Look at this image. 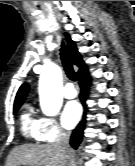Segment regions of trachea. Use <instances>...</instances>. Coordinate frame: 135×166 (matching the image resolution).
Listing matches in <instances>:
<instances>
[{"label": "trachea", "mask_w": 135, "mask_h": 166, "mask_svg": "<svg viewBox=\"0 0 135 166\" xmlns=\"http://www.w3.org/2000/svg\"><path fill=\"white\" fill-rule=\"evenodd\" d=\"M60 55H61L62 64H63L67 77L72 81H76L77 77L73 69L71 58L63 43L61 44Z\"/></svg>", "instance_id": "obj_1"}]
</instances>
